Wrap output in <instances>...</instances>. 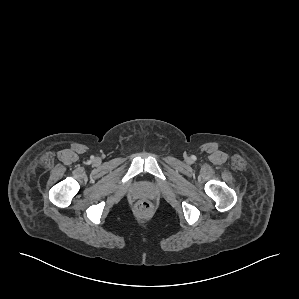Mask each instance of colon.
<instances>
[{
	"label": "colon",
	"mask_w": 299,
	"mask_h": 299,
	"mask_svg": "<svg viewBox=\"0 0 299 299\" xmlns=\"http://www.w3.org/2000/svg\"><path fill=\"white\" fill-rule=\"evenodd\" d=\"M135 210L140 216H147L152 211V204L148 200H140L136 203Z\"/></svg>",
	"instance_id": "obj_1"
}]
</instances>
